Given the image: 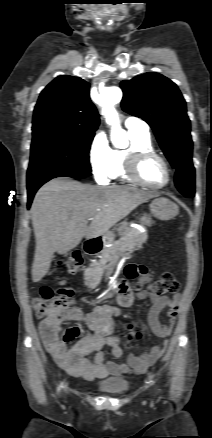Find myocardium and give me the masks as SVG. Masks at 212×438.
Here are the masks:
<instances>
[{
    "mask_svg": "<svg viewBox=\"0 0 212 438\" xmlns=\"http://www.w3.org/2000/svg\"><path fill=\"white\" fill-rule=\"evenodd\" d=\"M149 158L158 159L164 166L166 171V181L161 185H153L145 181L140 174V169L143 162ZM125 171L127 177L134 183L151 189L166 188L172 180V171L168 161L160 154L152 150H134L131 151L126 159Z\"/></svg>",
    "mask_w": 212,
    "mask_h": 438,
    "instance_id": "obj_1",
    "label": "myocardium"
}]
</instances>
